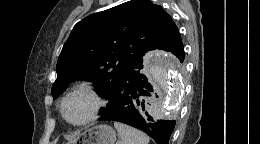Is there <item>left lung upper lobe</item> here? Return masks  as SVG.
Masks as SVG:
<instances>
[{
	"label": "left lung upper lobe",
	"instance_id": "obj_1",
	"mask_svg": "<svg viewBox=\"0 0 260 144\" xmlns=\"http://www.w3.org/2000/svg\"><path fill=\"white\" fill-rule=\"evenodd\" d=\"M178 34L170 15L148 0L128 1L85 17L74 26L58 58L53 98L72 81L86 80L96 84L110 105L127 69Z\"/></svg>",
	"mask_w": 260,
	"mask_h": 144
}]
</instances>
